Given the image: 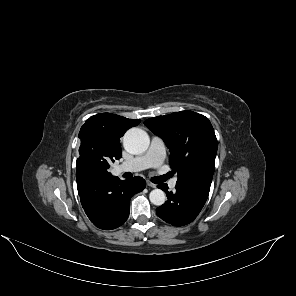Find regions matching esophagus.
<instances>
[{
  "label": "esophagus",
  "mask_w": 296,
  "mask_h": 296,
  "mask_svg": "<svg viewBox=\"0 0 296 296\" xmlns=\"http://www.w3.org/2000/svg\"><path fill=\"white\" fill-rule=\"evenodd\" d=\"M147 185L149 186V187H152V188H156L157 187V185L156 184H154V183H152L151 181H149V180H147Z\"/></svg>",
  "instance_id": "1"
}]
</instances>
